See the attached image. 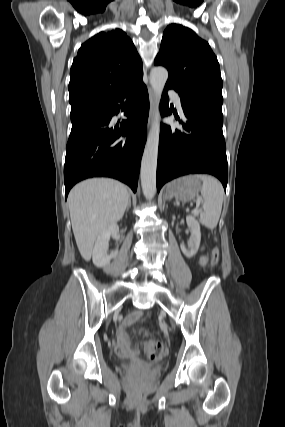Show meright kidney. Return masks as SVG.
Wrapping results in <instances>:
<instances>
[{"label":"right kidney","instance_id":"1","mask_svg":"<svg viewBox=\"0 0 285 427\" xmlns=\"http://www.w3.org/2000/svg\"><path fill=\"white\" fill-rule=\"evenodd\" d=\"M118 232L119 227L115 224L97 237L92 253V260L96 267H108L110 265L111 259L117 256L118 250L108 255L106 253V248L108 247L110 237L118 234Z\"/></svg>","mask_w":285,"mask_h":427}]
</instances>
